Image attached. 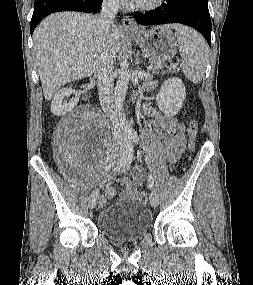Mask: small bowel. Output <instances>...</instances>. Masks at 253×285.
<instances>
[{"instance_id": "1", "label": "small bowel", "mask_w": 253, "mask_h": 285, "mask_svg": "<svg viewBox=\"0 0 253 285\" xmlns=\"http://www.w3.org/2000/svg\"><path fill=\"white\" fill-rule=\"evenodd\" d=\"M152 118V130L163 140L160 149L170 163L178 161L184 148L185 125L175 117H169L155 109H148ZM125 184V189L120 194L121 200L134 201L138 198L137 186L144 180V174L139 167L135 168L134 178L123 176L120 179ZM116 195V190L110 188L105 192L103 205Z\"/></svg>"}]
</instances>
